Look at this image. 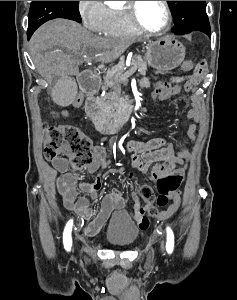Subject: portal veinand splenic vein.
<instances>
[{
    "mask_svg": "<svg viewBox=\"0 0 237 300\" xmlns=\"http://www.w3.org/2000/svg\"><path fill=\"white\" fill-rule=\"evenodd\" d=\"M136 66H132L131 68L127 69L125 72L126 73H123V77H121V80L122 81H126V78L124 76H128L130 77L133 73H136Z\"/></svg>",
    "mask_w": 237,
    "mask_h": 300,
    "instance_id": "1",
    "label": "portal vein and splenic vein"
}]
</instances>
